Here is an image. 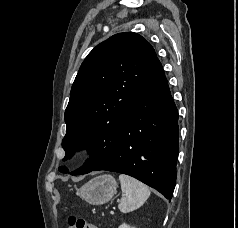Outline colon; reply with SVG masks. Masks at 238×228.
<instances>
[{
    "label": "colon",
    "instance_id": "1",
    "mask_svg": "<svg viewBox=\"0 0 238 228\" xmlns=\"http://www.w3.org/2000/svg\"><path fill=\"white\" fill-rule=\"evenodd\" d=\"M68 223L70 228H99L97 225L89 222L85 218L74 215L68 218Z\"/></svg>",
    "mask_w": 238,
    "mask_h": 228
}]
</instances>
